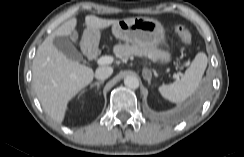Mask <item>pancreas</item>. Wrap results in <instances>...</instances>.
Returning a JSON list of instances; mask_svg holds the SVG:
<instances>
[{
	"instance_id": "pancreas-1",
	"label": "pancreas",
	"mask_w": 244,
	"mask_h": 157,
	"mask_svg": "<svg viewBox=\"0 0 244 157\" xmlns=\"http://www.w3.org/2000/svg\"><path fill=\"white\" fill-rule=\"evenodd\" d=\"M114 53L118 58H128L130 56H146L149 57L152 61H156V55L145 48H140L135 45L129 44H118L114 47Z\"/></svg>"
}]
</instances>
